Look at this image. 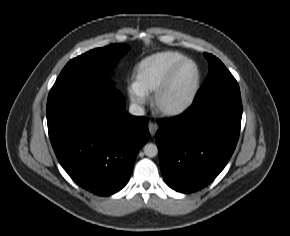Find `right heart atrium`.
Listing matches in <instances>:
<instances>
[{
  "label": "right heart atrium",
  "instance_id": "right-heart-atrium-1",
  "mask_svg": "<svg viewBox=\"0 0 290 236\" xmlns=\"http://www.w3.org/2000/svg\"><path fill=\"white\" fill-rule=\"evenodd\" d=\"M129 98L136 106H143L146 102V93L136 84V82H131L128 85Z\"/></svg>",
  "mask_w": 290,
  "mask_h": 236
}]
</instances>
